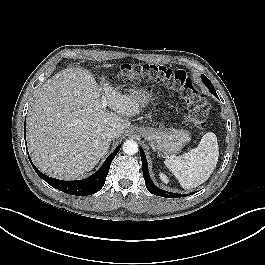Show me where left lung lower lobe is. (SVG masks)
<instances>
[{"label": "left lung lower lobe", "mask_w": 265, "mask_h": 265, "mask_svg": "<svg viewBox=\"0 0 265 265\" xmlns=\"http://www.w3.org/2000/svg\"><path fill=\"white\" fill-rule=\"evenodd\" d=\"M201 77H202L203 83L209 88V91L215 97L218 98L217 93H216L212 83L207 79V77L205 75H202ZM140 155H141V160H142L143 177L145 179V184H146V187L149 190V192L153 193L154 195L161 196V197H166V198H177V197H180L181 196L180 194L164 191L162 189H159L158 187H156L153 184V182H152V180H151V178L149 176L147 160H146L144 151L142 149H140ZM190 195H192V194H190Z\"/></svg>", "instance_id": "0a47b994"}]
</instances>
